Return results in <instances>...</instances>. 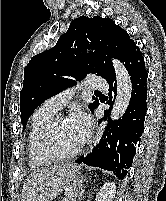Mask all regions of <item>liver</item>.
I'll return each instance as SVG.
<instances>
[{
  "label": "liver",
  "mask_w": 166,
  "mask_h": 201,
  "mask_svg": "<svg viewBox=\"0 0 166 201\" xmlns=\"http://www.w3.org/2000/svg\"><path fill=\"white\" fill-rule=\"evenodd\" d=\"M57 170L58 167L55 166L50 169L31 173L23 184L22 201H32L35 197L37 188Z\"/></svg>",
  "instance_id": "liver-1"
}]
</instances>
